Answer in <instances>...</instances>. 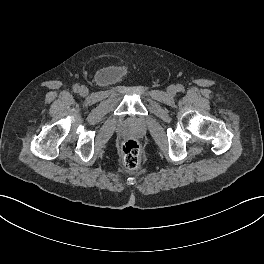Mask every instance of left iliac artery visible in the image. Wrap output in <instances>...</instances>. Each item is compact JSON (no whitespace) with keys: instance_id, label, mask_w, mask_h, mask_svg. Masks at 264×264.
Returning a JSON list of instances; mask_svg holds the SVG:
<instances>
[{"instance_id":"left-iliac-artery-1","label":"left iliac artery","mask_w":264,"mask_h":264,"mask_svg":"<svg viewBox=\"0 0 264 264\" xmlns=\"http://www.w3.org/2000/svg\"><path fill=\"white\" fill-rule=\"evenodd\" d=\"M184 87L180 84L177 85V91H183Z\"/></svg>"}]
</instances>
